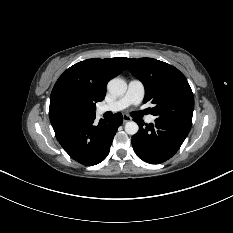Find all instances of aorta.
Returning a JSON list of instances; mask_svg holds the SVG:
<instances>
[{"label": "aorta", "instance_id": "1", "mask_svg": "<svg viewBox=\"0 0 233 233\" xmlns=\"http://www.w3.org/2000/svg\"><path fill=\"white\" fill-rule=\"evenodd\" d=\"M108 91L115 96H122L127 90V83L121 78H113L107 84ZM139 126L134 121H129L125 124V132L129 135H134L138 132Z\"/></svg>", "mask_w": 233, "mask_h": 233}]
</instances>
